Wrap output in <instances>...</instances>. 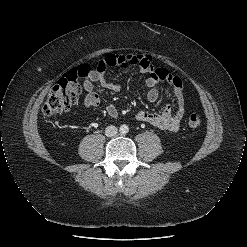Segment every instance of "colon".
Instances as JSON below:
<instances>
[{
  "mask_svg": "<svg viewBox=\"0 0 247 247\" xmlns=\"http://www.w3.org/2000/svg\"><path fill=\"white\" fill-rule=\"evenodd\" d=\"M89 71L87 65H82L69 71L64 78L60 79L48 94L42 109L43 114L52 116L66 112L77 104L82 94V87L78 80L86 77ZM188 124L192 128L199 127L202 124L200 113L192 112L189 115Z\"/></svg>",
  "mask_w": 247,
  "mask_h": 247,
  "instance_id": "colon-1",
  "label": "colon"
}]
</instances>
